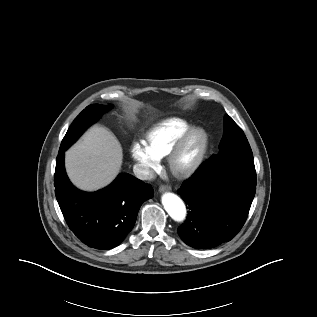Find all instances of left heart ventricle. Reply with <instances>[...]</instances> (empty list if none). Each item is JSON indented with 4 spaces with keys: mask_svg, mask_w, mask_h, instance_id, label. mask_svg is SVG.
<instances>
[{
    "mask_svg": "<svg viewBox=\"0 0 317 317\" xmlns=\"http://www.w3.org/2000/svg\"><path fill=\"white\" fill-rule=\"evenodd\" d=\"M195 151H196V144L191 143L184 153L183 160L184 161L189 160L194 155Z\"/></svg>",
    "mask_w": 317,
    "mask_h": 317,
    "instance_id": "left-heart-ventricle-1",
    "label": "left heart ventricle"
}]
</instances>
